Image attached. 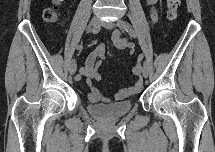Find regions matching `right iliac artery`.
<instances>
[{
    "instance_id": "1",
    "label": "right iliac artery",
    "mask_w": 215,
    "mask_h": 152,
    "mask_svg": "<svg viewBox=\"0 0 215 152\" xmlns=\"http://www.w3.org/2000/svg\"><path fill=\"white\" fill-rule=\"evenodd\" d=\"M100 30H101V27L99 25L95 26L94 28L91 29V31H92L93 34H97ZM77 49H81V46L79 45L77 47Z\"/></svg>"
}]
</instances>
